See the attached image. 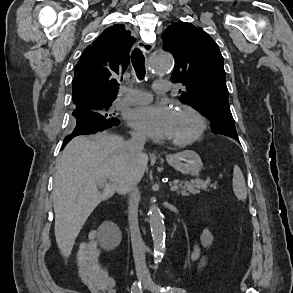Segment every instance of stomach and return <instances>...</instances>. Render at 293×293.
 Listing matches in <instances>:
<instances>
[{
	"mask_svg": "<svg viewBox=\"0 0 293 293\" xmlns=\"http://www.w3.org/2000/svg\"><path fill=\"white\" fill-rule=\"evenodd\" d=\"M167 161L176 171L187 176H197L203 166L200 156L192 150L169 155Z\"/></svg>",
	"mask_w": 293,
	"mask_h": 293,
	"instance_id": "0dacf381",
	"label": "stomach"
}]
</instances>
